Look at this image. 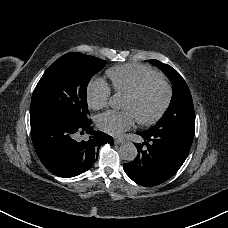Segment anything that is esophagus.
I'll return each instance as SVG.
<instances>
[{
	"label": "esophagus",
	"instance_id": "1",
	"mask_svg": "<svg viewBox=\"0 0 228 228\" xmlns=\"http://www.w3.org/2000/svg\"><path fill=\"white\" fill-rule=\"evenodd\" d=\"M114 142H115V144L119 145V144H122L123 143V139H121V138H115L114 139Z\"/></svg>",
	"mask_w": 228,
	"mask_h": 228
}]
</instances>
